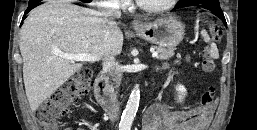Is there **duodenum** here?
<instances>
[{
  "instance_id": "1",
  "label": "duodenum",
  "mask_w": 257,
  "mask_h": 130,
  "mask_svg": "<svg viewBox=\"0 0 257 130\" xmlns=\"http://www.w3.org/2000/svg\"><path fill=\"white\" fill-rule=\"evenodd\" d=\"M95 96L98 103L111 118L118 115L119 106L104 74H100L96 79Z\"/></svg>"
}]
</instances>
